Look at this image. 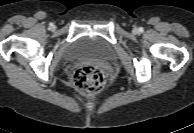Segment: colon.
Listing matches in <instances>:
<instances>
[{
    "label": "colon",
    "instance_id": "colon-1",
    "mask_svg": "<svg viewBox=\"0 0 194 133\" xmlns=\"http://www.w3.org/2000/svg\"><path fill=\"white\" fill-rule=\"evenodd\" d=\"M75 89L83 95H92L99 92L106 83V73L103 69L85 65L78 67L73 74Z\"/></svg>",
    "mask_w": 194,
    "mask_h": 133
}]
</instances>
